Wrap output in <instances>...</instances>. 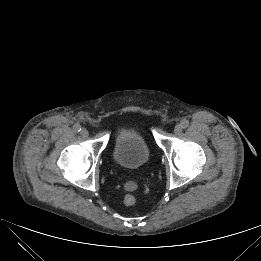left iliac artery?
<instances>
[{"label": "left iliac artery", "mask_w": 261, "mask_h": 261, "mask_svg": "<svg viewBox=\"0 0 261 261\" xmlns=\"http://www.w3.org/2000/svg\"><path fill=\"white\" fill-rule=\"evenodd\" d=\"M180 124H181V127H182L183 129H185V128H187V127L189 126V121L186 120V119H184V120L181 121Z\"/></svg>", "instance_id": "44dca946"}]
</instances>
